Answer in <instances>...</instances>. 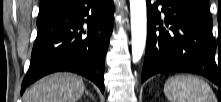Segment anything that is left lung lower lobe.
Here are the masks:
<instances>
[{"label":"left lung lower lobe","instance_id":"obj_1","mask_svg":"<svg viewBox=\"0 0 221 102\" xmlns=\"http://www.w3.org/2000/svg\"><path fill=\"white\" fill-rule=\"evenodd\" d=\"M147 12L142 82L161 72H191L220 87L221 60L217 65L208 7L197 0H148Z\"/></svg>","mask_w":221,"mask_h":102}]
</instances>
